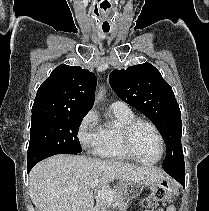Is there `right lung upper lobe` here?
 Segmentation results:
<instances>
[{
  "instance_id": "right-lung-upper-lobe-1",
  "label": "right lung upper lobe",
  "mask_w": 209,
  "mask_h": 211,
  "mask_svg": "<svg viewBox=\"0 0 209 211\" xmlns=\"http://www.w3.org/2000/svg\"><path fill=\"white\" fill-rule=\"evenodd\" d=\"M96 76L79 66L60 65L37 91L32 116L87 114L94 103Z\"/></svg>"
}]
</instances>
